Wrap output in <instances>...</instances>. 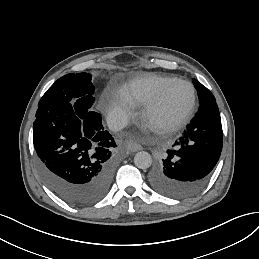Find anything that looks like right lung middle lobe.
<instances>
[{
  "mask_svg": "<svg viewBox=\"0 0 259 259\" xmlns=\"http://www.w3.org/2000/svg\"><path fill=\"white\" fill-rule=\"evenodd\" d=\"M94 86L89 73H70L59 78L42 96L38 107L72 104L78 113L86 114L94 102Z\"/></svg>",
  "mask_w": 259,
  "mask_h": 259,
  "instance_id": "obj_1",
  "label": "right lung middle lobe"
}]
</instances>
